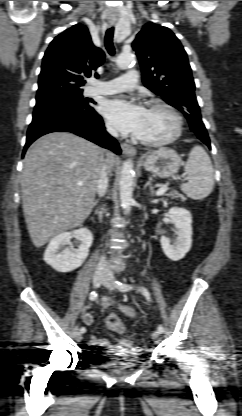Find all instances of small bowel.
Masks as SVG:
<instances>
[{
	"mask_svg": "<svg viewBox=\"0 0 242 416\" xmlns=\"http://www.w3.org/2000/svg\"><path fill=\"white\" fill-rule=\"evenodd\" d=\"M115 301L109 297H104L102 299V307L103 309L107 310L109 309L111 306L115 305ZM118 307L120 308V310L125 313L128 316H134L135 312L132 308L125 306V305H121L118 304ZM81 319L83 321V323H85L86 325H92L94 322V317L93 315L88 311V310H83L81 313ZM90 343L92 346L96 347V348H100V349H104L107 348L109 346V341L106 338H102L99 337L96 334H92L90 336Z\"/></svg>",
	"mask_w": 242,
	"mask_h": 416,
	"instance_id": "c3829d8e",
	"label": "small bowel"
}]
</instances>
